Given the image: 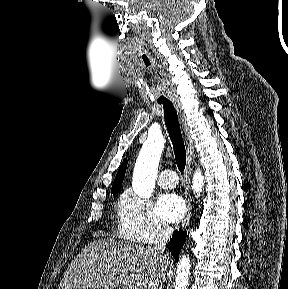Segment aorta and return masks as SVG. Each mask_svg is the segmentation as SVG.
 <instances>
[{
	"mask_svg": "<svg viewBox=\"0 0 288 289\" xmlns=\"http://www.w3.org/2000/svg\"><path fill=\"white\" fill-rule=\"evenodd\" d=\"M162 136H149L142 146L133 173L132 187L141 198H149L154 190L159 160L164 148ZM204 176L198 169L193 175L192 190L197 196L204 187ZM190 258L183 255L177 264L174 289H188Z\"/></svg>",
	"mask_w": 288,
	"mask_h": 289,
	"instance_id": "762f6f07",
	"label": "aorta"
}]
</instances>
